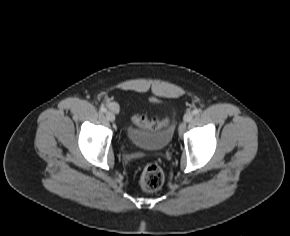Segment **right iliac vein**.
Here are the masks:
<instances>
[{
    "instance_id": "63e3f726",
    "label": "right iliac vein",
    "mask_w": 290,
    "mask_h": 236,
    "mask_svg": "<svg viewBox=\"0 0 290 236\" xmlns=\"http://www.w3.org/2000/svg\"><path fill=\"white\" fill-rule=\"evenodd\" d=\"M106 117L109 121L113 122L115 120V114L111 111L106 112Z\"/></svg>"
}]
</instances>
